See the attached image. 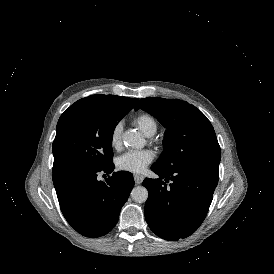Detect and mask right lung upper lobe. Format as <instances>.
<instances>
[{"mask_svg": "<svg viewBox=\"0 0 274 274\" xmlns=\"http://www.w3.org/2000/svg\"><path fill=\"white\" fill-rule=\"evenodd\" d=\"M137 101H138L137 98H128V97L125 98V97L116 96V95L97 94V95H91L86 98L78 100L73 105H71L65 112H68L70 110L80 108V107L97 106V105L110 104V103L125 104L133 109Z\"/></svg>", "mask_w": 274, "mask_h": 274, "instance_id": "right-lung-upper-lobe-1", "label": "right lung upper lobe"}]
</instances>
